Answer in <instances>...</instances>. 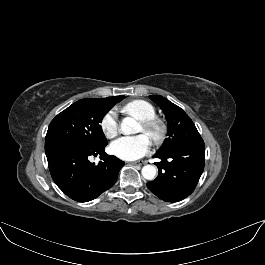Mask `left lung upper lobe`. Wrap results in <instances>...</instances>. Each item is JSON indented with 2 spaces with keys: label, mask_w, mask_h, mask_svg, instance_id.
I'll return each instance as SVG.
<instances>
[{
  "label": "left lung upper lobe",
  "mask_w": 265,
  "mask_h": 265,
  "mask_svg": "<svg viewBox=\"0 0 265 265\" xmlns=\"http://www.w3.org/2000/svg\"><path fill=\"white\" fill-rule=\"evenodd\" d=\"M149 98L162 109L168 122V138L158 153L201 138L190 117L180 107L160 95H151Z\"/></svg>",
  "instance_id": "left-lung-upper-lobe-1"
}]
</instances>
